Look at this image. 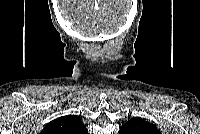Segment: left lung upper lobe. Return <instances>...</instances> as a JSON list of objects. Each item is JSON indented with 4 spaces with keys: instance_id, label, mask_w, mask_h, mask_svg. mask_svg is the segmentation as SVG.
<instances>
[{
    "instance_id": "left-lung-upper-lobe-1",
    "label": "left lung upper lobe",
    "mask_w": 200,
    "mask_h": 134,
    "mask_svg": "<svg viewBox=\"0 0 200 134\" xmlns=\"http://www.w3.org/2000/svg\"><path fill=\"white\" fill-rule=\"evenodd\" d=\"M120 134H161L151 123L139 118L127 121L120 129Z\"/></svg>"
}]
</instances>
